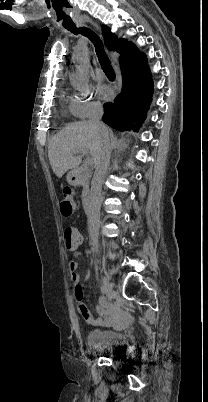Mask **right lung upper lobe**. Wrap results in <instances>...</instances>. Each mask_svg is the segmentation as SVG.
I'll use <instances>...</instances> for the list:
<instances>
[{
	"mask_svg": "<svg viewBox=\"0 0 208 402\" xmlns=\"http://www.w3.org/2000/svg\"><path fill=\"white\" fill-rule=\"evenodd\" d=\"M103 34L105 37V44L109 50H116L121 53L128 43L125 39H117V36L111 33L110 28L107 26L103 27Z\"/></svg>",
	"mask_w": 208,
	"mask_h": 402,
	"instance_id": "right-lung-upper-lobe-1",
	"label": "right lung upper lobe"
}]
</instances>
